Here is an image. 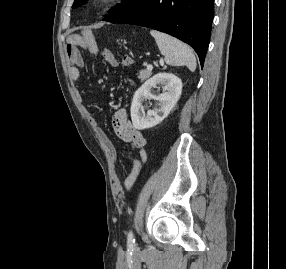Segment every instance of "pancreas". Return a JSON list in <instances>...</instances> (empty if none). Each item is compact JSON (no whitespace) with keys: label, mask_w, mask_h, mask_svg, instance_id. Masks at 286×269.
<instances>
[{"label":"pancreas","mask_w":286,"mask_h":269,"mask_svg":"<svg viewBox=\"0 0 286 269\" xmlns=\"http://www.w3.org/2000/svg\"><path fill=\"white\" fill-rule=\"evenodd\" d=\"M152 75V72L150 70H141L139 71V79L145 80L149 78Z\"/></svg>","instance_id":"obj_1"}]
</instances>
